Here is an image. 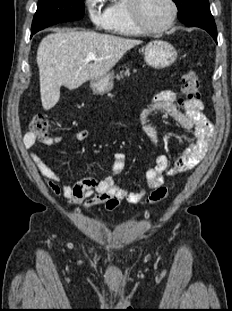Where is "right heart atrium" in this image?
<instances>
[{
    "label": "right heart atrium",
    "instance_id": "d8ad5b80",
    "mask_svg": "<svg viewBox=\"0 0 232 311\" xmlns=\"http://www.w3.org/2000/svg\"><path fill=\"white\" fill-rule=\"evenodd\" d=\"M102 5L103 0H84L85 9L96 28H105L107 22V13Z\"/></svg>",
    "mask_w": 232,
    "mask_h": 311
}]
</instances>
